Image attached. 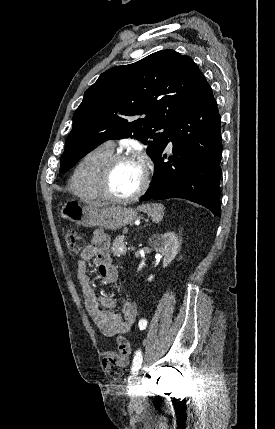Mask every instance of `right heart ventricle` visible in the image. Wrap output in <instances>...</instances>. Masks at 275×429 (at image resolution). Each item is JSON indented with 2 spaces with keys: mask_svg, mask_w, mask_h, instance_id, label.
I'll return each mask as SVG.
<instances>
[{
  "mask_svg": "<svg viewBox=\"0 0 275 429\" xmlns=\"http://www.w3.org/2000/svg\"><path fill=\"white\" fill-rule=\"evenodd\" d=\"M113 154V148L106 144L90 150L75 167L69 188L73 194L85 200H99L96 180L103 163Z\"/></svg>",
  "mask_w": 275,
  "mask_h": 429,
  "instance_id": "right-heart-ventricle-1",
  "label": "right heart ventricle"
}]
</instances>
